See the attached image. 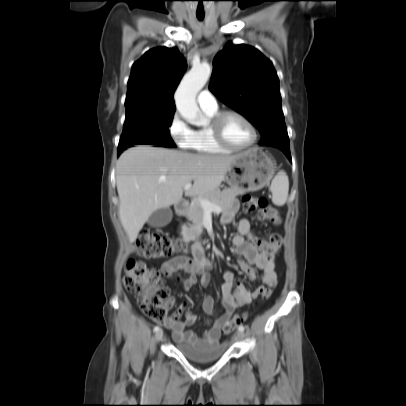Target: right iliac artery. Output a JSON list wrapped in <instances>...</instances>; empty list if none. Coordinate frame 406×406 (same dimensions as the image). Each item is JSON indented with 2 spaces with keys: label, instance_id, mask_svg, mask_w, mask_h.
Returning a JSON list of instances; mask_svg holds the SVG:
<instances>
[{
  "label": "right iliac artery",
  "instance_id": "1",
  "mask_svg": "<svg viewBox=\"0 0 406 406\" xmlns=\"http://www.w3.org/2000/svg\"><path fill=\"white\" fill-rule=\"evenodd\" d=\"M160 330V327L159 326H155L154 327V332H157V331H159Z\"/></svg>",
  "mask_w": 406,
  "mask_h": 406
}]
</instances>
